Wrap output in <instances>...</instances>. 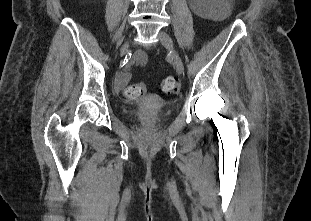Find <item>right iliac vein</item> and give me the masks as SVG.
Returning a JSON list of instances; mask_svg holds the SVG:
<instances>
[{"label":"right iliac vein","mask_w":311,"mask_h":221,"mask_svg":"<svg viewBox=\"0 0 311 221\" xmlns=\"http://www.w3.org/2000/svg\"><path fill=\"white\" fill-rule=\"evenodd\" d=\"M128 48H129V42L126 41L121 48V51H120L121 56L127 52Z\"/></svg>","instance_id":"63e3f726"}]
</instances>
